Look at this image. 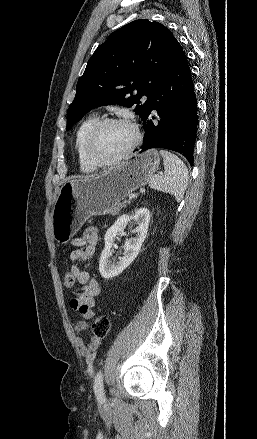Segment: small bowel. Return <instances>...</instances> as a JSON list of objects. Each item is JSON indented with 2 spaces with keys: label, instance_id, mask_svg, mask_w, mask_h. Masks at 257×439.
Returning <instances> with one entry per match:
<instances>
[{
  "label": "small bowel",
  "instance_id": "small-bowel-1",
  "mask_svg": "<svg viewBox=\"0 0 257 439\" xmlns=\"http://www.w3.org/2000/svg\"><path fill=\"white\" fill-rule=\"evenodd\" d=\"M98 240V230L88 228L82 236L71 241L75 249L70 253V260L74 263L70 271L81 287V290L70 300V307L83 318L74 327L76 333L75 343L88 365H93L95 361L101 338L93 335L90 342L85 343L80 335L88 329L87 320L94 316L93 307L95 306V299L100 293V286L96 279L83 268V264L94 256Z\"/></svg>",
  "mask_w": 257,
  "mask_h": 439
}]
</instances>
